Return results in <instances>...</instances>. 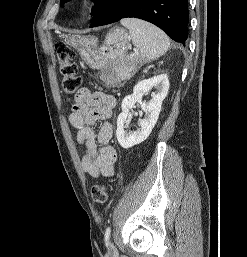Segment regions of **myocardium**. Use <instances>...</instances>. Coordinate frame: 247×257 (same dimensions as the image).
Listing matches in <instances>:
<instances>
[{
    "label": "myocardium",
    "instance_id": "myocardium-1",
    "mask_svg": "<svg viewBox=\"0 0 247 257\" xmlns=\"http://www.w3.org/2000/svg\"><path fill=\"white\" fill-rule=\"evenodd\" d=\"M95 6L93 0H78L75 4V8L81 15H87L90 13Z\"/></svg>",
    "mask_w": 247,
    "mask_h": 257
}]
</instances>
